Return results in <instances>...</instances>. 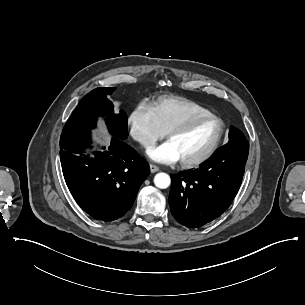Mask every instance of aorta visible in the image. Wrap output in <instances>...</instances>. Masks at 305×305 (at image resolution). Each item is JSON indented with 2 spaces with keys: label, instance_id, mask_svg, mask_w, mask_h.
<instances>
[{
  "label": "aorta",
  "instance_id": "aorta-1",
  "mask_svg": "<svg viewBox=\"0 0 305 305\" xmlns=\"http://www.w3.org/2000/svg\"><path fill=\"white\" fill-rule=\"evenodd\" d=\"M171 179L166 173H158L154 177V184L160 189H166L170 186Z\"/></svg>",
  "mask_w": 305,
  "mask_h": 305
}]
</instances>
